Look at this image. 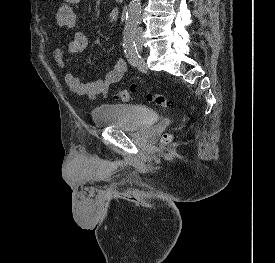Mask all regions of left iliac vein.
Returning <instances> with one entry per match:
<instances>
[{"instance_id": "1", "label": "left iliac vein", "mask_w": 275, "mask_h": 263, "mask_svg": "<svg viewBox=\"0 0 275 263\" xmlns=\"http://www.w3.org/2000/svg\"><path fill=\"white\" fill-rule=\"evenodd\" d=\"M137 46L139 50H142V42L140 39L137 40Z\"/></svg>"}]
</instances>
